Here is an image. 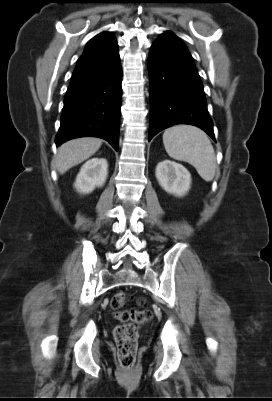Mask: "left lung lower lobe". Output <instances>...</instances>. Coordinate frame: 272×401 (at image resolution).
<instances>
[{"label": "left lung lower lobe", "instance_id": "0a47b994", "mask_svg": "<svg viewBox=\"0 0 272 401\" xmlns=\"http://www.w3.org/2000/svg\"><path fill=\"white\" fill-rule=\"evenodd\" d=\"M148 72L149 141L172 125L189 124L203 129L216 142L197 69L185 44L172 32L161 34L152 44Z\"/></svg>", "mask_w": 272, "mask_h": 401}]
</instances>
